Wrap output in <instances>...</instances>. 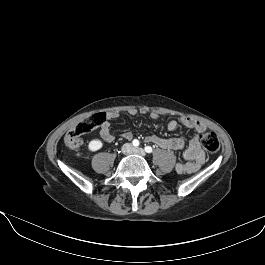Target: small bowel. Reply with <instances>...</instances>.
Segmentation results:
<instances>
[{
	"label": "small bowel",
	"instance_id": "1",
	"mask_svg": "<svg viewBox=\"0 0 265 265\" xmlns=\"http://www.w3.org/2000/svg\"><path fill=\"white\" fill-rule=\"evenodd\" d=\"M141 114H149L152 119H158L159 114L155 111H149L147 108H141L139 111ZM129 115L135 116L138 113L136 109H130ZM119 116L118 112H109L106 117L107 119H114ZM183 125L186 128L194 130L197 134L189 141L188 146L185 148V141L180 137L164 138L157 135L148 136L147 140L150 143L157 145L160 148L168 150H183V157L185 162H178L176 164V171L178 173H195L199 170L201 165L205 161V152L200 145V135L206 130V126L195 119L190 117H180L179 120L170 121L167 125L168 130L173 131L178 128L179 125ZM100 136L106 142H112L114 135L110 130V123L108 121L103 122L99 130ZM123 139L130 140L133 135L131 132L126 131L120 134Z\"/></svg>",
	"mask_w": 265,
	"mask_h": 265
}]
</instances>
